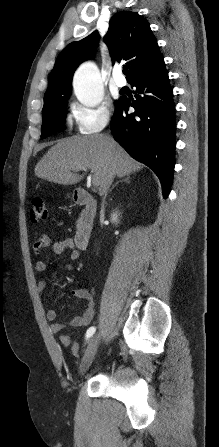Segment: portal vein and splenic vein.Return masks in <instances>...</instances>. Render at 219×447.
Returning <instances> with one entry per match:
<instances>
[{
  "mask_svg": "<svg viewBox=\"0 0 219 447\" xmlns=\"http://www.w3.org/2000/svg\"><path fill=\"white\" fill-rule=\"evenodd\" d=\"M92 184H93V186L97 187L98 181L95 178H92Z\"/></svg>",
  "mask_w": 219,
  "mask_h": 447,
  "instance_id": "1",
  "label": "portal vein and splenic vein"
}]
</instances>
